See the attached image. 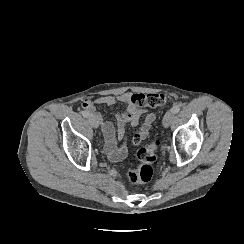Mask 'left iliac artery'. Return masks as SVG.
<instances>
[{
	"label": "left iliac artery",
	"instance_id": "1",
	"mask_svg": "<svg viewBox=\"0 0 244 244\" xmlns=\"http://www.w3.org/2000/svg\"><path fill=\"white\" fill-rule=\"evenodd\" d=\"M171 111H172L173 113H178V112L180 111V106H174V107L171 109Z\"/></svg>",
	"mask_w": 244,
	"mask_h": 244
}]
</instances>
